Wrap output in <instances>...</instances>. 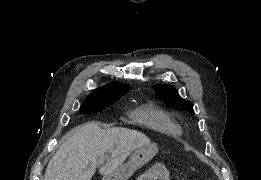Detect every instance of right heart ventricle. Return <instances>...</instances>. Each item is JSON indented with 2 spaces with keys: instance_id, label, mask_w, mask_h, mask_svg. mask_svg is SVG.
Here are the masks:
<instances>
[{
  "instance_id": "e07e8e85",
  "label": "right heart ventricle",
  "mask_w": 261,
  "mask_h": 180,
  "mask_svg": "<svg viewBox=\"0 0 261 180\" xmlns=\"http://www.w3.org/2000/svg\"><path fill=\"white\" fill-rule=\"evenodd\" d=\"M128 121H142L137 131L146 133H166V138H139L156 139V141L178 140L183 136V129L165 109L153 104L144 103L135 107L128 115Z\"/></svg>"
}]
</instances>
